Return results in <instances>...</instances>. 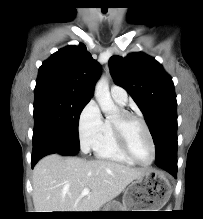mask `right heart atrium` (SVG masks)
Segmentation results:
<instances>
[{
  "label": "right heart atrium",
  "mask_w": 203,
  "mask_h": 219,
  "mask_svg": "<svg viewBox=\"0 0 203 219\" xmlns=\"http://www.w3.org/2000/svg\"><path fill=\"white\" fill-rule=\"evenodd\" d=\"M103 119L95 101H90L83 108L78 119V136L83 152H89L95 145L102 129Z\"/></svg>",
  "instance_id": "d8ad5b80"
}]
</instances>
